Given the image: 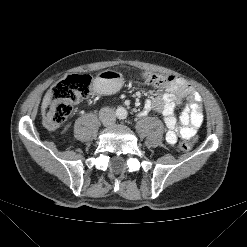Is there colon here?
I'll return each instance as SVG.
<instances>
[{"label":"colon","mask_w":247,"mask_h":247,"mask_svg":"<svg viewBox=\"0 0 247 247\" xmlns=\"http://www.w3.org/2000/svg\"><path fill=\"white\" fill-rule=\"evenodd\" d=\"M140 77L146 83L163 85L174 80L173 76L143 72ZM91 92V78L88 75L70 74L59 81L52 89L44 108V124L54 129L64 123L74 111V106L89 96ZM195 139H186L179 144L183 151L193 148Z\"/></svg>","instance_id":"5ec220e1"}]
</instances>
